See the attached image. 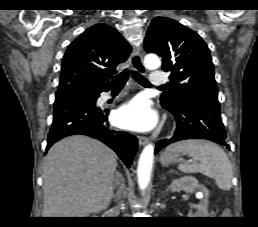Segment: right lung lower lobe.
<instances>
[{
    "instance_id": "right-lung-lower-lobe-1",
    "label": "right lung lower lobe",
    "mask_w": 258,
    "mask_h": 227,
    "mask_svg": "<svg viewBox=\"0 0 258 227\" xmlns=\"http://www.w3.org/2000/svg\"><path fill=\"white\" fill-rule=\"evenodd\" d=\"M99 94L107 89L82 88ZM108 111L96 107L81 95H71L54 103L53 123L48 134L47 150L58 140L74 134H83L96 138L112 148L124 164L130 167L137 151L135 136L122 131L109 129Z\"/></svg>"
}]
</instances>
